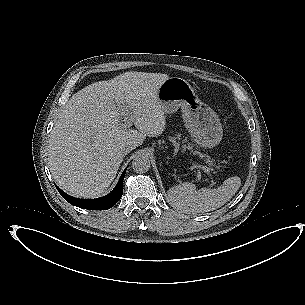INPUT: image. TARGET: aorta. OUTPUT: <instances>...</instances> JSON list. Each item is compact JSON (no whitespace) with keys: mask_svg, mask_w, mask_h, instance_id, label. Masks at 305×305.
Masks as SVG:
<instances>
[{"mask_svg":"<svg viewBox=\"0 0 305 305\" xmlns=\"http://www.w3.org/2000/svg\"><path fill=\"white\" fill-rule=\"evenodd\" d=\"M150 159L148 155L146 154H138L133 160H132V169L136 173H145L150 169Z\"/></svg>","mask_w":305,"mask_h":305,"instance_id":"762f6f07","label":"aorta"}]
</instances>
